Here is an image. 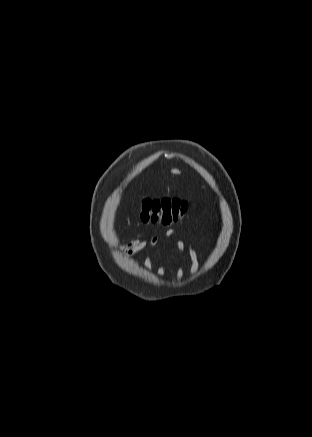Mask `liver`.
Masks as SVG:
<instances>
[{
  "instance_id": "obj_1",
  "label": "liver",
  "mask_w": 312,
  "mask_h": 437,
  "mask_svg": "<svg viewBox=\"0 0 312 437\" xmlns=\"http://www.w3.org/2000/svg\"><path fill=\"white\" fill-rule=\"evenodd\" d=\"M172 172H173V173H179V171H178V170H172Z\"/></svg>"
}]
</instances>
